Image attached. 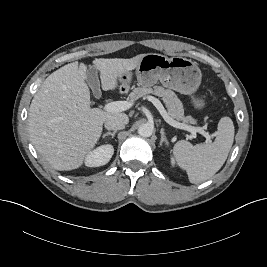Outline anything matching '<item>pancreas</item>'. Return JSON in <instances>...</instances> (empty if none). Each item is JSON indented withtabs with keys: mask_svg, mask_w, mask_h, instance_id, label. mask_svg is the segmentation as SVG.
<instances>
[{
	"mask_svg": "<svg viewBox=\"0 0 267 267\" xmlns=\"http://www.w3.org/2000/svg\"><path fill=\"white\" fill-rule=\"evenodd\" d=\"M148 94H154L163 99L168 107V113L171 118L177 121H183L186 124H195L196 120L191 116H184V109L182 102L178 99L177 95L170 89H165L162 86H154L153 88L138 87L130 93L131 101H136L139 98H145Z\"/></svg>",
	"mask_w": 267,
	"mask_h": 267,
	"instance_id": "obj_1",
	"label": "pancreas"
}]
</instances>
